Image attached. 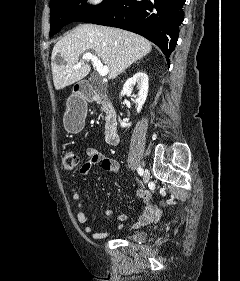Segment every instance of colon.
Wrapping results in <instances>:
<instances>
[{
	"mask_svg": "<svg viewBox=\"0 0 240 281\" xmlns=\"http://www.w3.org/2000/svg\"><path fill=\"white\" fill-rule=\"evenodd\" d=\"M79 156L74 151H66L61 157V167L65 171L75 170L79 166Z\"/></svg>",
	"mask_w": 240,
	"mask_h": 281,
	"instance_id": "5ec220e1",
	"label": "colon"
}]
</instances>
